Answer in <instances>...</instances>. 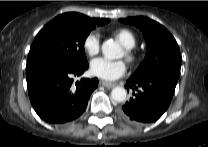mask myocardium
<instances>
[{
  "label": "myocardium",
  "mask_w": 208,
  "mask_h": 147,
  "mask_svg": "<svg viewBox=\"0 0 208 147\" xmlns=\"http://www.w3.org/2000/svg\"><path fill=\"white\" fill-rule=\"evenodd\" d=\"M125 58L129 63H134L137 60V53L132 48H125Z\"/></svg>",
  "instance_id": "1"
}]
</instances>
